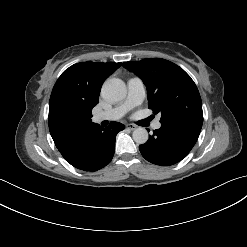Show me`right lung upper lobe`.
I'll list each match as a JSON object with an SVG mask.
<instances>
[{"mask_svg": "<svg viewBox=\"0 0 247 247\" xmlns=\"http://www.w3.org/2000/svg\"><path fill=\"white\" fill-rule=\"evenodd\" d=\"M120 66L121 63L84 62L72 65L61 74L49 101V130L56 147L81 132L63 126L59 121L61 112L92 110L98 103L103 82Z\"/></svg>", "mask_w": 247, "mask_h": 247, "instance_id": "cb5924a9", "label": "right lung upper lobe"}]
</instances>
